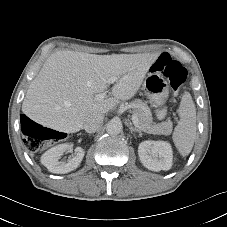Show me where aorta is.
I'll use <instances>...</instances> for the list:
<instances>
[{
    "mask_svg": "<svg viewBox=\"0 0 227 227\" xmlns=\"http://www.w3.org/2000/svg\"><path fill=\"white\" fill-rule=\"evenodd\" d=\"M122 129V122L119 119H112L106 124V131L110 135H118Z\"/></svg>",
    "mask_w": 227,
    "mask_h": 227,
    "instance_id": "aorta-1",
    "label": "aorta"
}]
</instances>
